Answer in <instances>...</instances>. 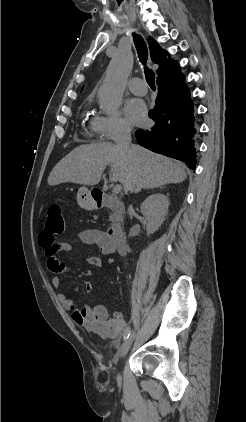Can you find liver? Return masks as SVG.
Masks as SVG:
<instances>
[{
    "label": "liver",
    "instance_id": "1",
    "mask_svg": "<svg viewBox=\"0 0 246 422\" xmlns=\"http://www.w3.org/2000/svg\"><path fill=\"white\" fill-rule=\"evenodd\" d=\"M133 154L128 155L108 142L81 145L72 150L53 168L49 177L50 186L71 182L94 186L101 180L107 165H110V181L120 182L128 192L130 177H133L135 192L157 188L170 183L183 182L185 166L157 155L138 145H132Z\"/></svg>",
    "mask_w": 246,
    "mask_h": 422
}]
</instances>
